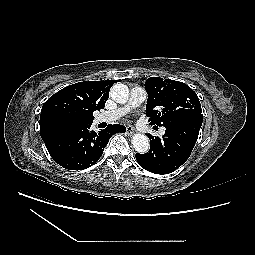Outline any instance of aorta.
<instances>
[{"label": "aorta", "mask_w": 255, "mask_h": 255, "mask_svg": "<svg viewBox=\"0 0 255 255\" xmlns=\"http://www.w3.org/2000/svg\"><path fill=\"white\" fill-rule=\"evenodd\" d=\"M110 96L115 102L124 104L129 97L128 87L122 83H116L111 87ZM132 145L139 153H146L150 148L148 137L141 133H136L133 135Z\"/></svg>", "instance_id": "1"}]
</instances>
